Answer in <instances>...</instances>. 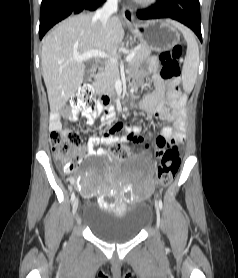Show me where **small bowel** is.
I'll use <instances>...</instances> for the list:
<instances>
[{"mask_svg":"<svg viewBox=\"0 0 238 278\" xmlns=\"http://www.w3.org/2000/svg\"><path fill=\"white\" fill-rule=\"evenodd\" d=\"M152 69L156 68L157 55H150ZM141 79L140 74H136L132 77L133 84L137 83ZM153 80L155 82L154 88L156 89L152 94L148 95L146 99L138 106V108L147 114L154 115L155 117L171 121L172 126L163 127L156 138H144L141 134V127L134 126L125 122H116L110 126V128L102 135H95L87 140L86 146L81 149L80 154L88 156L102 155L106 156V152L103 149L96 150L98 145L110 146L118 142H132L135 144H145L149 146V143L154 144H169L178 143L184 139L185 135V97L178 89L177 83H166L160 76L154 75ZM166 103L169 108L166 107ZM82 116L86 119L88 125L94 124L97 117L102 114L103 121H110L113 119L115 112L111 105L104 104L102 102L97 103L96 110L94 112L82 111ZM71 121H76L78 112L73 110L68 115ZM49 127L51 131L62 129L61 114L54 112L51 114ZM124 129L126 135L119 137L117 133ZM147 132H155V127H147ZM153 144V145H154ZM152 145V147H153ZM154 149V148H153ZM156 155H162L166 149H154ZM71 183L78 185L74 178L69 179ZM149 184H153V181L149 179Z\"/></svg>","mask_w":238,"mask_h":278,"instance_id":"c3829d8e","label":"small bowel"}]
</instances>
